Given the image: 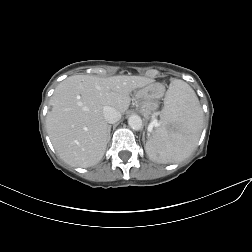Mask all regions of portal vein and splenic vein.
<instances>
[{"mask_svg": "<svg viewBox=\"0 0 252 252\" xmlns=\"http://www.w3.org/2000/svg\"><path fill=\"white\" fill-rule=\"evenodd\" d=\"M157 126H158L157 119H154V120L150 123V125H149V127H148V131L151 132L152 129H153V127H157Z\"/></svg>", "mask_w": 252, "mask_h": 252, "instance_id": "1", "label": "portal vein and splenic vein"}]
</instances>
